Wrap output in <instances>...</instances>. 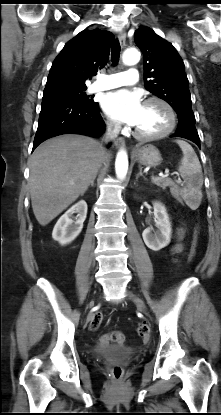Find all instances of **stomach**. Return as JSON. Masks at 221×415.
<instances>
[{
  "mask_svg": "<svg viewBox=\"0 0 221 415\" xmlns=\"http://www.w3.org/2000/svg\"><path fill=\"white\" fill-rule=\"evenodd\" d=\"M132 157L141 165L150 167H156L162 161L159 150L151 144L135 147Z\"/></svg>",
  "mask_w": 221,
  "mask_h": 415,
  "instance_id": "stomach-1",
  "label": "stomach"
}]
</instances>
